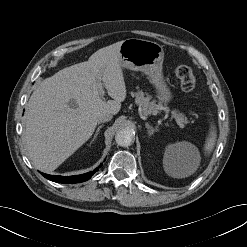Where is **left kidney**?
Returning a JSON list of instances; mask_svg holds the SVG:
<instances>
[{"instance_id": "5707ae66", "label": "left kidney", "mask_w": 247, "mask_h": 247, "mask_svg": "<svg viewBox=\"0 0 247 247\" xmlns=\"http://www.w3.org/2000/svg\"><path fill=\"white\" fill-rule=\"evenodd\" d=\"M193 152H195V146L189 142H178L170 144L166 147L164 152V164H176V160L181 158H188Z\"/></svg>"}]
</instances>
